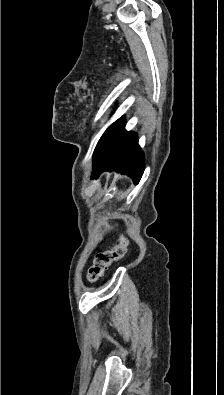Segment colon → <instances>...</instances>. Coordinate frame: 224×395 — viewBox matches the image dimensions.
<instances>
[{
  "instance_id": "1",
  "label": "colon",
  "mask_w": 224,
  "mask_h": 395,
  "mask_svg": "<svg viewBox=\"0 0 224 395\" xmlns=\"http://www.w3.org/2000/svg\"><path fill=\"white\" fill-rule=\"evenodd\" d=\"M128 243V239L123 237L117 244L107 250L97 253L93 260V264L88 269L87 278L89 282L96 283L102 278L112 263L120 260L125 255Z\"/></svg>"
}]
</instances>
